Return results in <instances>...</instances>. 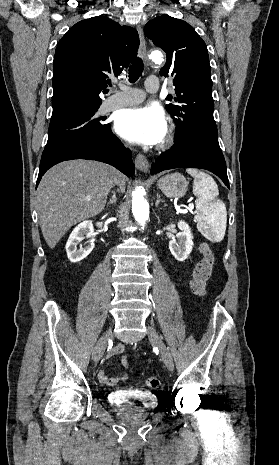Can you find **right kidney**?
Here are the masks:
<instances>
[{
	"instance_id": "1",
	"label": "right kidney",
	"mask_w": 279,
	"mask_h": 465,
	"mask_svg": "<svg viewBox=\"0 0 279 465\" xmlns=\"http://www.w3.org/2000/svg\"><path fill=\"white\" fill-rule=\"evenodd\" d=\"M93 232L91 220L83 221L73 229L66 243L67 256L72 263L80 262L91 253L94 248V240L90 239ZM85 238L90 239L87 242L88 245L85 248L77 249V245Z\"/></svg>"
}]
</instances>
